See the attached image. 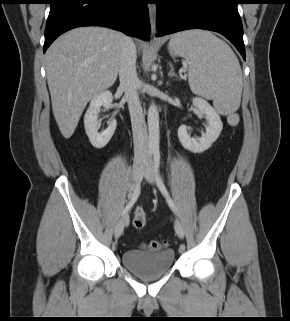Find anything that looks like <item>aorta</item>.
I'll return each instance as SVG.
<instances>
[{
    "instance_id": "762f6f07",
    "label": "aorta",
    "mask_w": 290,
    "mask_h": 321,
    "mask_svg": "<svg viewBox=\"0 0 290 321\" xmlns=\"http://www.w3.org/2000/svg\"><path fill=\"white\" fill-rule=\"evenodd\" d=\"M148 145L151 151L159 150L160 129L159 112L157 106L152 102L148 109Z\"/></svg>"
}]
</instances>
